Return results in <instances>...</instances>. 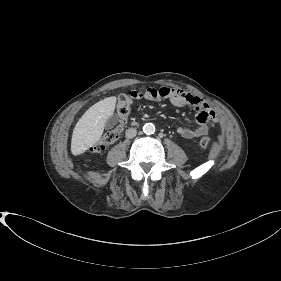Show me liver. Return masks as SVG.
Returning a JSON list of instances; mask_svg holds the SVG:
<instances>
[{
    "label": "liver",
    "mask_w": 281,
    "mask_h": 281,
    "mask_svg": "<svg viewBox=\"0 0 281 281\" xmlns=\"http://www.w3.org/2000/svg\"><path fill=\"white\" fill-rule=\"evenodd\" d=\"M117 98L107 97L91 106L78 120L71 139V153L83 154L102 136L106 120L114 113Z\"/></svg>",
    "instance_id": "6515ba94"
}]
</instances>
